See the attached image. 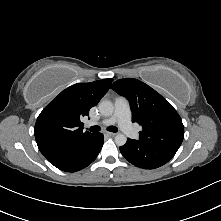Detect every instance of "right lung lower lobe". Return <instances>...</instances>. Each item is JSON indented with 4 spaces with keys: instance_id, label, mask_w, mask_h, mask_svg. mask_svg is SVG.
Listing matches in <instances>:
<instances>
[{
    "instance_id": "98d812e1",
    "label": "right lung lower lobe",
    "mask_w": 221,
    "mask_h": 221,
    "mask_svg": "<svg viewBox=\"0 0 221 221\" xmlns=\"http://www.w3.org/2000/svg\"><path fill=\"white\" fill-rule=\"evenodd\" d=\"M103 141L104 136L102 133H94L92 136L70 147L59 161L52 164L65 172L82 170L96 159L102 148Z\"/></svg>"
}]
</instances>
